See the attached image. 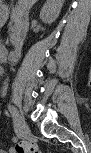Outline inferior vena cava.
<instances>
[{"label":"inferior vena cava","mask_w":91,"mask_h":153,"mask_svg":"<svg viewBox=\"0 0 91 153\" xmlns=\"http://www.w3.org/2000/svg\"><path fill=\"white\" fill-rule=\"evenodd\" d=\"M27 28H28V22L25 21V32L27 31Z\"/></svg>","instance_id":"1"}]
</instances>
